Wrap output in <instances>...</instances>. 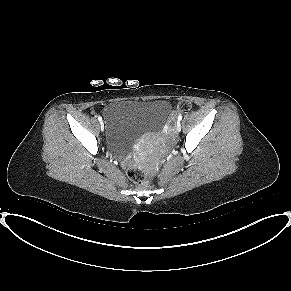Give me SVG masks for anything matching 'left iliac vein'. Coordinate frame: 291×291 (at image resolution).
I'll return each instance as SVG.
<instances>
[{"label":"left iliac vein","instance_id":"1","mask_svg":"<svg viewBox=\"0 0 291 291\" xmlns=\"http://www.w3.org/2000/svg\"><path fill=\"white\" fill-rule=\"evenodd\" d=\"M176 130H177V132H180L181 131V124H180V122H177V124H176Z\"/></svg>","mask_w":291,"mask_h":291}]
</instances>
